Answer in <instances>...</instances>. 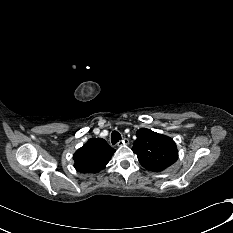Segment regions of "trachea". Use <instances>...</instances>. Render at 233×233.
I'll return each mask as SVG.
<instances>
[{"instance_id": "1", "label": "trachea", "mask_w": 233, "mask_h": 233, "mask_svg": "<svg viewBox=\"0 0 233 233\" xmlns=\"http://www.w3.org/2000/svg\"><path fill=\"white\" fill-rule=\"evenodd\" d=\"M119 140H121V135L119 132L117 131H113L111 134V142L113 145H115L117 142H119Z\"/></svg>"}]
</instances>
